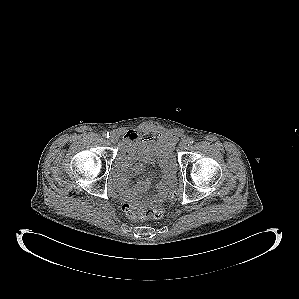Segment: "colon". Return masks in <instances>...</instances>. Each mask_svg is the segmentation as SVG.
Returning a JSON list of instances; mask_svg holds the SVG:
<instances>
[{
    "mask_svg": "<svg viewBox=\"0 0 299 299\" xmlns=\"http://www.w3.org/2000/svg\"><path fill=\"white\" fill-rule=\"evenodd\" d=\"M178 195L179 193L177 191H172L169 194V199L176 200ZM122 210L128 217L132 219H160L165 213V210L162 206L144 209L130 202L124 203Z\"/></svg>",
    "mask_w": 299,
    "mask_h": 299,
    "instance_id": "colon-1",
    "label": "colon"
}]
</instances>
